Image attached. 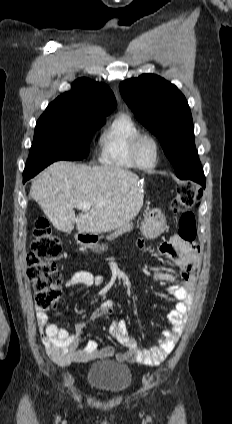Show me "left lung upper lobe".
<instances>
[{"instance_id": "left-lung-upper-lobe-1", "label": "left lung upper lobe", "mask_w": 232, "mask_h": 424, "mask_svg": "<svg viewBox=\"0 0 232 424\" xmlns=\"http://www.w3.org/2000/svg\"><path fill=\"white\" fill-rule=\"evenodd\" d=\"M119 89L137 120L160 140L178 178L201 167L190 108L175 85L143 74L121 82Z\"/></svg>"}]
</instances>
